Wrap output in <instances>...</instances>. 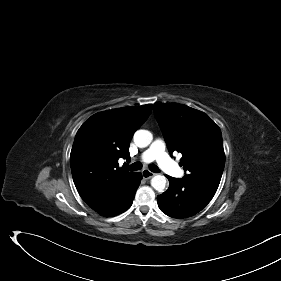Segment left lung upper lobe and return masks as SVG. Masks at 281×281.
Segmentation results:
<instances>
[{
  "label": "left lung upper lobe",
  "instance_id": "1",
  "mask_svg": "<svg viewBox=\"0 0 281 281\" xmlns=\"http://www.w3.org/2000/svg\"><path fill=\"white\" fill-rule=\"evenodd\" d=\"M154 112L169 152L182 153L184 178L217 190L225 165L220 128L204 112L183 104H155Z\"/></svg>",
  "mask_w": 281,
  "mask_h": 281
}]
</instances>
